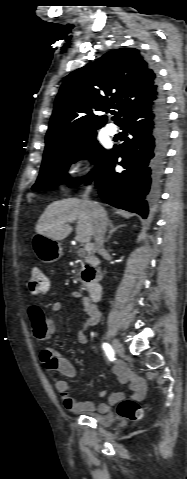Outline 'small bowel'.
Returning a JSON list of instances; mask_svg holds the SVG:
<instances>
[{"instance_id":"1","label":"small bowel","mask_w":187,"mask_h":479,"mask_svg":"<svg viewBox=\"0 0 187 479\" xmlns=\"http://www.w3.org/2000/svg\"><path fill=\"white\" fill-rule=\"evenodd\" d=\"M71 296L75 298L84 308L88 321L84 329L79 333L78 339L80 342L87 341L85 331L98 324L102 318L101 311L98 306L90 300V298L79 291L71 292ZM64 309L62 303H54L51 306V314L58 315ZM28 318L32 326V331L35 337L40 338L51 332L53 325L45 319L41 307L34 305L28 310ZM40 360L44 368L49 373H60L69 380L76 378V370L73 364L66 358L59 355V353L52 348H44L39 354ZM114 372L119 378L120 382L127 384L131 393V397L135 400H142L146 394V382L143 377L136 375L124 364H116ZM54 386L56 391L61 395L64 407L72 412H97L105 414L110 407L124 397V393H114L109 396L107 403L95 404L91 401H78L70 394V384L67 380L54 378ZM105 393L102 392L101 396Z\"/></svg>"}]
</instances>
